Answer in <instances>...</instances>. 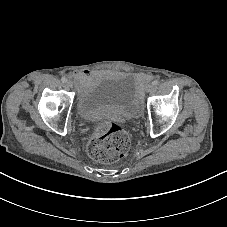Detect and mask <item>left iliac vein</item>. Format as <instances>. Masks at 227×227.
<instances>
[{
  "instance_id": "4c4485c4",
  "label": "left iliac vein",
  "mask_w": 227,
  "mask_h": 227,
  "mask_svg": "<svg viewBox=\"0 0 227 227\" xmlns=\"http://www.w3.org/2000/svg\"><path fill=\"white\" fill-rule=\"evenodd\" d=\"M152 89H153V86H152L151 84H148V85L146 86L147 92L151 91Z\"/></svg>"
}]
</instances>
